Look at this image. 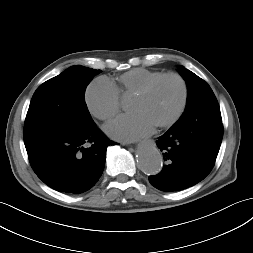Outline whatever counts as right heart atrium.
<instances>
[{"mask_svg": "<svg viewBox=\"0 0 253 253\" xmlns=\"http://www.w3.org/2000/svg\"><path fill=\"white\" fill-rule=\"evenodd\" d=\"M85 104L92 116L108 121L120 111V96L107 79L96 78L85 91Z\"/></svg>", "mask_w": 253, "mask_h": 253, "instance_id": "right-heart-atrium-1", "label": "right heart atrium"}]
</instances>
